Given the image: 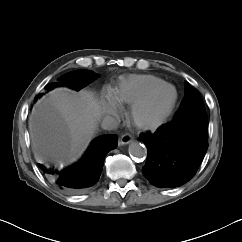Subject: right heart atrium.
Instances as JSON below:
<instances>
[{"label": "right heart atrium", "mask_w": 242, "mask_h": 242, "mask_svg": "<svg viewBox=\"0 0 242 242\" xmlns=\"http://www.w3.org/2000/svg\"><path fill=\"white\" fill-rule=\"evenodd\" d=\"M104 107L105 111L110 115H114L121 110L120 103L111 94L104 97Z\"/></svg>", "instance_id": "obj_1"}]
</instances>
